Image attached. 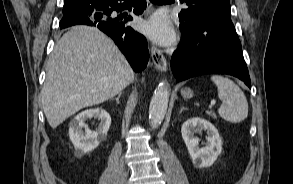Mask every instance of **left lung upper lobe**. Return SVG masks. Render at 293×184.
<instances>
[{"mask_svg":"<svg viewBox=\"0 0 293 184\" xmlns=\"http://www.w3.org/2000/svg\"><path fill=\"white\" fill-rule=\"evenodd\" d=\"M190 5L187 12H195L196 7L211 8L230 15L229 0H185Z\"/></svg>","mask_w":293,"mask_h":184,"instance_id":"obj_1","label":"left lung upper lobe"}]
</instances>
